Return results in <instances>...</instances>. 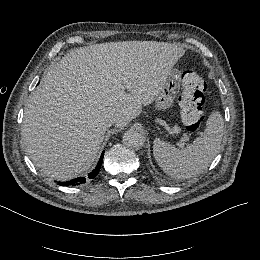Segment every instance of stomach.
Wrapping results in <instances>:
<instances>
[{
	"label": "stomach",
	"instance_id": "1",
	"mask_svg": "<svg viewBox=\"0 0 260 260\" xmlns=\"http://www.w3.org/2000/svg\"><path fill=\"white\" fill-rule=\"evenodd\" d=\"M180 82L181 72L177 69L171 70L156 98L155 107L158 110H166L173 106L174 99L180 90Z\"/></svg>",
	"mask_w": 260,
	"mask_h": 260
}]
</instances>
